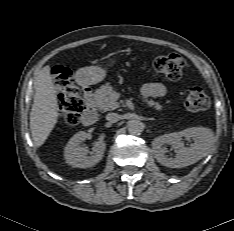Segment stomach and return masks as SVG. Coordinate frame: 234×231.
Returning a JSON list of instances; mask_svg holds the SVG:
<instances>
[{
  "mask_svg": "<svg viewBox=\"0 0 234 231\" xmlns=\"http://www.w3.org/2000/svg\"><path fill=\"white\" fill-rule=\"evenodd\" d=\"M114 61L111 62V65ZM107 69L98 66L80 68L76 73L77 81L82 85H93L104 80Z\"/></svg>",
  "mask_w": 234,
  "mask_h": 231,
  "instance_id": "stomach-1",
  "label": "stomach"
}]
</instances>
